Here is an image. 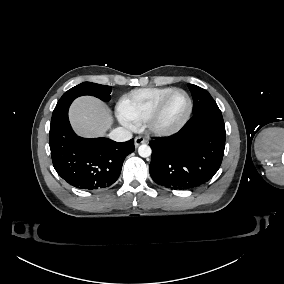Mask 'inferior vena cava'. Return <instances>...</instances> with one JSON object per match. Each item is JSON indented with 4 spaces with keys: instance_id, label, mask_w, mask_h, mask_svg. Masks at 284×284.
<instances>
[{
    "instance_id": "obj_1",
    "label": "inferior vena cava",
    "mask_w": 284,
    "mask_h": 284,
    "mask_svg": "<svg viewBox=\"0 0 284 284\" xmlns=\"http://www.w3.org/2000/svg\"><path fill=\"white\" fill-rule=\"evenodd\" d=\"M109 137L114 141L124 142L132 138V133L124 127H117L111 131Z\"/></svg>"
}]
</instances>
